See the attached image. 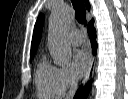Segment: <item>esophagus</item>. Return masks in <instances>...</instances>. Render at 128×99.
Segmentation results:
<instances>
[{
    "label": "esophagus",
    "instance_id": "esophagus-1",
    "mask_svg": "<svg viewBox=\"0 0 128 99\" xmlns=\"http://www.w3.org/2000/svg\"><path fill=\"white\" fill-rule=\"evenodd\" d=\"M94 68H95V59L93 57L92 60H91V64H90L87 76H86V78L83 82V85H86L91 80V78L93 77Z\"/></svg>",
    "mask_w": 128,
    "mask_h": 99
}]
</instances>
